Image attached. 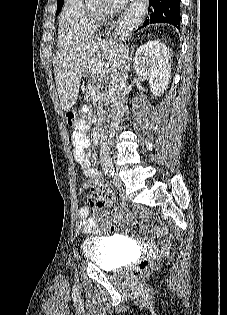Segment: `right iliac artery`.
Masks as SVG:
<instances>
[{"mask_svg":"<svg viewBox=\"0 0 227 315\" xmlns=\"http://www.w3.org/2000/svg\"><path fill=\"white\" fill-rule=\"evenodd\" d=\"M114 169H109V170H106L105 172V175L108 176L109 178H113L114 177Z\"/></svg>","mask_w":227,"mask_h":315,"instance_id":"1","label":"right iliac artery"}]
</instances>
